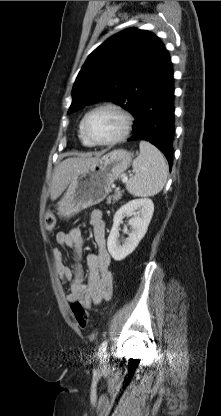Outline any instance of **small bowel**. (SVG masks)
Segmentation results:
<instances>
[{"instance_id":"obj_1","label":"small bowel","mask_w":221,"mask_h":416,"mask_svg":"<svg viewBox=\"0 0 221 416\" xmlns=\"http://www.w3.org/2000/svg\"><path fill=\"white\" fill-rule=\"evenodd\" d=\"M97 252L86 256L88 268L87 283H83V270L80 263L85 235L81 228L74 227L67 232L56 234L59 245L70 247L75 252L76 263L69 267L65 263L63 252L54 248L52 256L56 271L60 278L70 285L66 295L69 302L79 301L86 308H91L102 301H108L113 293V273L111 257L106 249L105 221L100 211H93L89 219Z\"/></svg>"}]
</instances>
